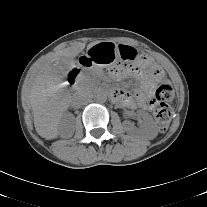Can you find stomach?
Masks as SVG:
<instances>
[{
	"label": "stomach",
	"mask_w": 207,
	"mask_h": 207,
	"mask_svg": "<svg viewBox=\"0 0 207 207\" xmlns=\"http://www.w3.org/2000/svg\"><path fill=\"white\" fill-rule=\"evenodd\" d=\"M85 56L91 61L92 65L106 68L108 71L116 70L123 60L130 62L135 58H140L134 48L111 41H102L95 44L87 50Z\"/></svg>",
	"instance_id": "0dacf381"
}]
</instances>
